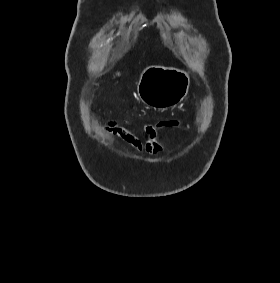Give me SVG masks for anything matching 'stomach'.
I'll list each match as a JSON object with an SVG mask.
<instances>
[{
	"label": "stomach",
	"mask_w": 280,
	"mask_h": 283,
	"mask_svg": "<svg viewBox=\"0 0 280 283\" xmlns=\"http://www.w3.org/2000/svg\"><path fill=\"white\" fill-rule=\"evenodd\" d=\"M190 77L184 70L153 65L145 68L137 85L142 102L158 109L178 105L187 95Z\"/></svg>",
	"instance_id": "stomach-1"
}]
</instances>
